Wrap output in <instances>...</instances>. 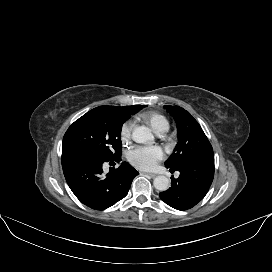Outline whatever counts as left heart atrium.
Listing matches in <instances>:
<instances>
[{
	"mask_svg": "<svg viewBox=\"0 0 272 272\" xmlns=\"http://www.w3.org/2000/svg\"><path fill=\"white\" fill-rule=\"evenodd\" d=\"M163 158V152L156 146H136L129 152L130 162L143 170L153 169Z\"/></svg>",
	"mask_w": 272,
	"mask_h": 272,
	"instance_id": "1",
	"label": "left heart atrium"
}]
</instances>
